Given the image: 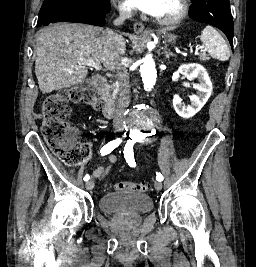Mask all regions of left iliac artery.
I'll return each mask as SVG.
<instances>
[{"label": "left iliac artery", "instance_id": "44dca946", "mask_svg": "<svg viewBox=\"0 0 256 267\" xmlns=\"http://www.w3.org/2000/svg\"><path fill=\"white\" fill-rule=\"evenodd\" d=\"M124 157L126 159V162L128 163V165H130L131 167H135L136 163H135V159H134V152H133V143L131 141H127L125 147H124ZM156 179L157 181H163V175L161 173H156Z\"/></svg>", "mask_w": 256, "mask_h": 267}]
</instances>
